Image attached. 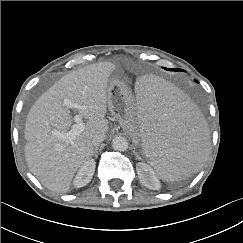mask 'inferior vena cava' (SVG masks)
Here are the masks:
<instances>
[{"label": "inferior vena cava", "mask_w": 243, "mask_h": 243, "mask_svg": "<svg viewBox=\"0 0 243 243\" xmlns=\"http://www.w3.org/2000/svg\"><path fill=\"white\" fill-rule=\"evenodd\" d=\"M106 138V135L104 133H99V134H95L92 139L91 142L92 144L96 147L98 146L101 142H103Z\"/></svg>", "instance_id": "obj_1"}]
</instances>
